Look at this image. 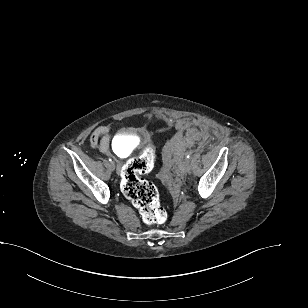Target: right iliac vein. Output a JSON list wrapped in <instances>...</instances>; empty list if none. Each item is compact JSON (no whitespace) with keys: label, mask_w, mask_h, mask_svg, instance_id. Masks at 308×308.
<instances>
[{"label":"right iliac vein","mask_w":308,"mask_h":308,"mask_svg":"<svg viewBox=\"0 0 308 308\" xmlns=\"http://www.w3.org/2000/svg\"><path fill=\"white\" fill-rule=\"evenodd\" d=\"M110 167L114 170L115 167H116L115 163H114V162H111V163H110Z\"/></svg>","instance_id":"63e3f726"}]
</instances>
